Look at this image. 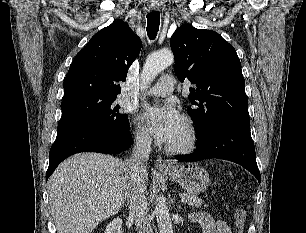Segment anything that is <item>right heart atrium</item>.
Wrapping results in <instances>:
<instances>
[{"label": "right heart atrium", "instance_id": "d8ad5b80", "mask_svg": "<svg viewBox=\"0 0 306 233\" xmlns=\"http://www.w3.org/2000/svg\"><path fill=\"white\" fill-rule=\"evenodd\" d=\"M134 140L141 148H149L152 144L150 134L137 122H135Z\"/></svg>", "mask_w": 306, "mask_h": 233}]
</instances>
